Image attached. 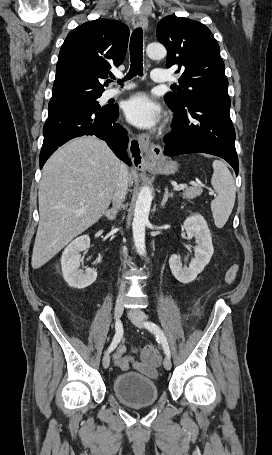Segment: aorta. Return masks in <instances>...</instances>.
Segmentation results:
<instances>
[{"label": "aorta", "mask_w": 272, "mask_h": 455, "mask_svg": "<svg viewBox=\"0 0 272 455\" xmlns=\"http://www.w3.org/2000/svg\"><path fill=\"white\" fill-rule=\"evenodd\" d=\"M146 53L149 58L154 60L163 59L166 48L159 43H151L147 46ZM152 192L149 187H142L135 204L134 218L132 223L133 239L139 255L146 254L145 247V226L148 223L149 212L152 203Z\"/></svg>", "instance_id": "1"}]
</instances>
